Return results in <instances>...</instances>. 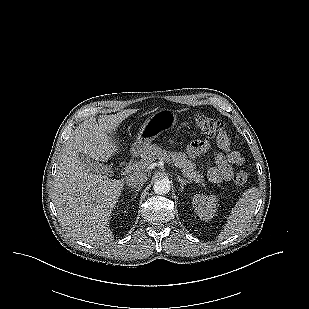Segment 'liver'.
Wrapping results in <instances>:
<instances>
[{
  "instance_id": "1",
  "label": "liver",
  "mask_w": 309,
  "mask_h": 309,
  "mask_svg": "<svg viewBox=\"0 0 309 309\" xmlns=\"http://www.w3.org/2000/svg\"><path fill=\"white\" fill-rule=\"evenodd\" d=\"M137 109L91 117L72 133L61 152L53 184V202L60 222L75 238L104 245L113 240L110 216L123 190L124 180H111L85 168L79 155L108 161L118 150L115 138L120 123Z\"/></svg>"
}]
</instances>
